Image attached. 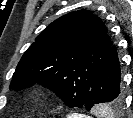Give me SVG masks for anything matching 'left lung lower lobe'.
<instances>
[{"instance_id":"obj_1","label":"left lung lower lobe","mask_w":133,"mask_h":118,"mask_svg":"<svg viewBox=\"0 0 133 118\" xmlns=\"http://www.w3.org/2000/svg\"><path fill=\"white\" fill-rule=\"evenodd\" d=\"M115 100L123 101L124 92L121 85L120 62L116 47L113 45L107 60L91 84L84 107L87 110L97 105L105 107Z\"/></svg>"}]
</instances>
